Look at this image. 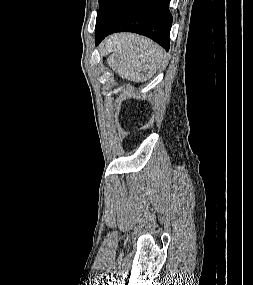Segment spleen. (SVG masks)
Listing matches in <instances>:
<instances>
[{"label":"spleen","instance_id":"3e777b00","mask_svg":"<svg viewBox=\"0 0 253 285\" xmlns=\"http://www.w3.org/2000/svg\"><path fill=\"white\" fill-rule=\"evenodd\" d=\"M108 48V65L123 79L143 82L150 79L167 60L163 49L153 41L135 34L114 36Z\"/></svg>","mask_w":253,"mask_h":285}]
</instances>
